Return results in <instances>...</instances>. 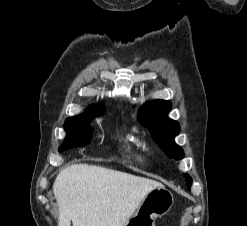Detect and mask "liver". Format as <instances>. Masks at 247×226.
Instances as JSON below:
<instances>
[{"label": "liver", "instance_id": "obj_1", "mask_svg": "<svg viewBox=\"0 0 247 226\" xmlns=\"http://www.w3.org/2000/svg\"><path fill=\"white\" fill-rule=\"evenodd\" d=\"M161 183L96 165L63 168L53 192L58 226H122L146 194Z\"/></svg>", "mask_w": 247, "mask_h": 226}]
</instances>
